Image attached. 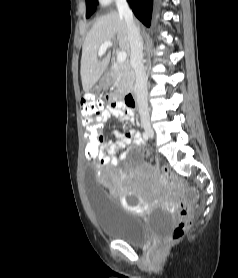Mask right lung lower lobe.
<instances>
[{
  "label": "right lung lower lobe",
  "mask_w": 238,
  "mask_h": 278,
  "mask_svg": "<svg viewBox=\"0 0 238 278\" xmlns=\"http://www.w3.org/2000/svg\"><path fill=\"white\" fill-rule=\"evenodd\" d=\"M135 16L147 27L151 24L153 0H127Z\"/></svg>",
  "instance_id": "obj_1"
}]
</instances>
